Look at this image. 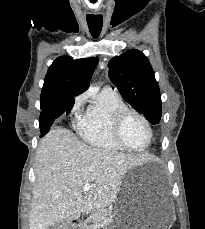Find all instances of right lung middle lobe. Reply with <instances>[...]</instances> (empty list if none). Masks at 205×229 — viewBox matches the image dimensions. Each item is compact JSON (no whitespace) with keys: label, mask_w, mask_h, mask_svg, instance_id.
Listing matches in <instances>:
<instances>
[{"label":"right lung middle lobe","mask_w":205,"mask_h":229,"mask_svg":"<svg viewBox=\"0 0 205 229\" xmlns=\"http://www.w3.org/2000/svg\"><path fill=\"white\" fill-rule=\"evenodd\" d=\"M49 106H50V105H49ZM49 106H48V107H49ZM46 108H47V107H44L43 104L41 103V109L44 110V109H46Z\"/></svg>","instance_id":"obj_1"}]
</instances>
